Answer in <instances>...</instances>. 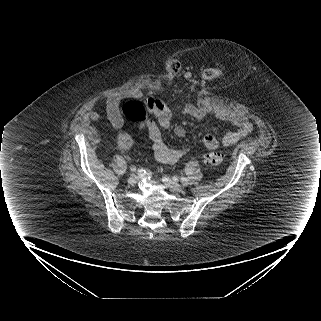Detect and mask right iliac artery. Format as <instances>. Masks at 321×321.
<instances>
[{
  "mask_svg": "<svg viewBox=\"0 0 321 321\" xmlns=\"http://www.w3.org/2000/svg\"><path fill=\"white\" fill-rule=\"evenodd\" d=\"M131 170L136 171V167H132ZM138 171L141 172L142 170H138Z\"/></svg>",
  "mask_w": 321,
  "mask_h": 321,
  "instance_id": "obj_1",
  "label": "right iliac artery"
}]
</instances>
